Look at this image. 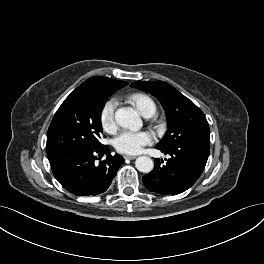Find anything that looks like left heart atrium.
Listing matches in <instances>:
<instances>
[{"instance_id":"obj_1","label":"left heart atrium","mask_w":264,"mask_h":264,"mask_svg":"<svg viewBox=\"0 0 264 264\" xmlns=\"http://www.w3.org/2000/svg\"><path fill=\"white\" fill-rule=\"evenodd\" d=\"M153 140L148 131H122L114 140L117 151L126 154H136Z\"/></svg>"}]
</instances>
